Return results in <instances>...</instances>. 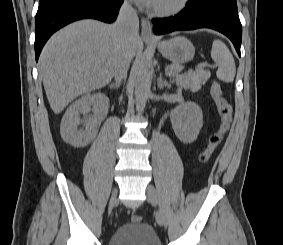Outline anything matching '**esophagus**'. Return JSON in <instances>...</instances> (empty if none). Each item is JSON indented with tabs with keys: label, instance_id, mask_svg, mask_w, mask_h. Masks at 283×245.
<instances>
[{
	"label": "esophagus",
	"instance_id": "obj_1",
	"mask_svg": "<svg viewBox=\"0 0 283 245\" xmlns=\"http://www.w3.org/2000/svg\"><path fill=\"white\" fill-rule=\"evenodd\" d=\"M141 25H142L141 35H142L143 40L144 41H155L156 38L152 31L151 22L146 18H142Z\"/></svg>",
	"mask_w": 283,
	"mask_h": 245
}]
</instances>
